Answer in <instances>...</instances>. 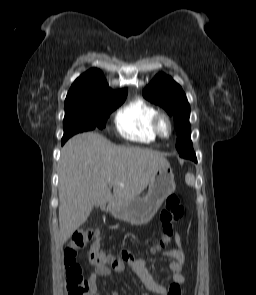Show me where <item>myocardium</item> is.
<instances>
[{"label":"myocardium","mask_w":256,"mask_h":295,"mask_svg":"<svg viewBox=\"0 0 256 295\" xmlns=\"http://www.w3.org/2000/svg\"><path fill=\"white\" fill-rule=\"evenodd\" d=\"M154 129L158 136L168 138L173 132V123L166 114H158L154 120Z\"/></svg>","instance_id":"obj_1"}]
</instances>
